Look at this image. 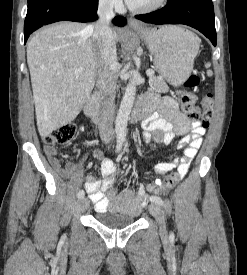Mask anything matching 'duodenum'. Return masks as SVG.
I'll return each instance as SVG.
<instances>
[{
  "mask_svg": "<svg viewBox=\"0 0 247 275\" xmlns=\"http://www.w3.org/2000/svg\"><path fill=\"white\" fill-rule=\"evenodd\" d=\"M85 114L99 123H103L108 117V112L103 108L100 103V92H96L91 95L85 104ZM147 114V108L143 103L135 105L132 115L131 122L135 123L140 121Z\"/></svg>",
  "mask_w": 247,
  "mask_h": 275,
  "instance_id": "duodenum-1",
  "label": "duodenum"
}]
</instances>
